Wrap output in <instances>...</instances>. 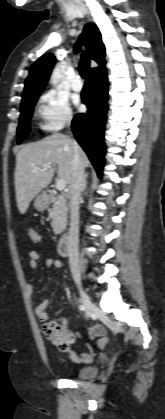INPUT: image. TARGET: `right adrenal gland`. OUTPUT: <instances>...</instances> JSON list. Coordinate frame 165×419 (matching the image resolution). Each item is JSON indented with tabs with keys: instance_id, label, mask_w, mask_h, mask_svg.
Here are the masks:
<instances>
[{
	"instance_id": "obj_1",
	"label": "right adrenal gland",
	"mask_w": 165,
	"mask_h": 419,
	"mask_svg": "<svg viewBox=\"0 0 165 419\" xmlns=\"http://www.w3.org/2000/svg\"><path fill=\"white\" fill-rule=\"evenodd\" d=\"M87 177H88V173H85L84 174V181H83V190H85L86 186H87Z\"/></svg>"
}]
</instances>
